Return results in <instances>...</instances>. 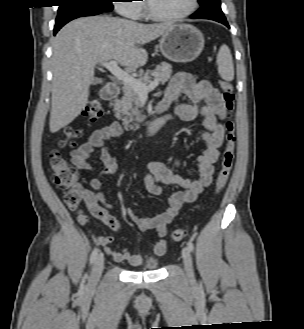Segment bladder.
I'll return each instance as SVG.
<instances>
[{
	"mask_svg": "<svg viewBox=\"0 0 304 329\" xmlns=\"http://www.w3.org/2000/svg\"><path fill=\"white\" fill-rule=\"evenodd\" d=\"M159 265H160L159 259H157L155 257H150V258L143 260L140 263L139 268L141 270H146V271H155V270H157Z\"/></svg>",
	"mask_w": 304,
	"mask_h": 329,
	"instance_id": "obj_1",
	"label": "bladder"
}]
</instances>
